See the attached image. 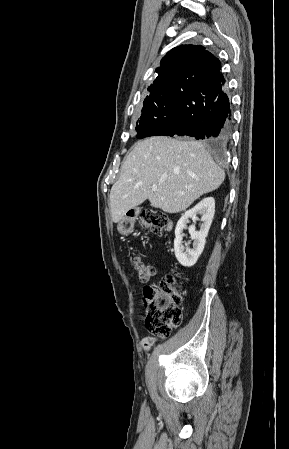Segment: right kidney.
Here are the masks:
<instances>
[{
    "mask_svg": "<svg viewBox=\"0 0 289 449\" xmlns=\"http://www.w3.org/2000/svg\"><path fill=\"white\" fill-rule=\"evenodd\" d=\"M214 213L215 200L213 197H207L200 201L195 207L186 211L178 220L175 228L174 251L176 259L182 266L191 267L197 262L199 256L203 252ZM197 214L202 215V224L199 231H196L195 225L189 227V233L193 240V248H189L187 244H185V246L182 245V232L183 229L186 228L189 219H193L194 221L198 219L196 217Z\"/></svg>",
    "mask_w": 289,
    "mask_h": 449,
    "instance_id": "obj_1",
    "label": "right kidney"
}]
</instances>
